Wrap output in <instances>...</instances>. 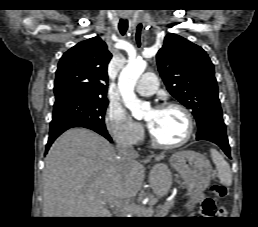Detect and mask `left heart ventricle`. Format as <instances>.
Instances as JSON below:
<instances>
[{
  "label": "left heart ventricle",
  "instance_id": "obj_1",
  "mask_svg": "<svg viewBox=\"0 0 258 227\" xmlns=\"http://www.w3.org/2000/svg\"><path fill=\"white\" fill-rule=\"evenodd\" d=\"M144 118L150 125L151 131L162 142H177L186 135V118L178 109H150L145 113Z\"/></svg>",
  "mask_w": 258,
  "mask_h": 227
}]
</instances>
